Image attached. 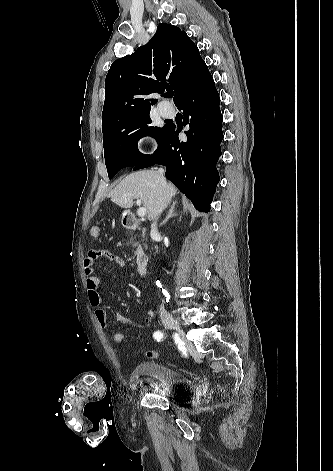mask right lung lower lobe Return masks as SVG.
<instances>
[{"mask_svg":"<svg viewBox=\"0 0 333 471\" xmlns=\"http://www.w3.org/2000/svg\"><path fill=\"white\" fill-rule=\"evenodd\" d=\"M183 110L187 141H179L178 129L170 124L157 150L134 165L133 170L154 164L167 167L165 176L189 198L196 209L210 210L219 182L216 168L223 139L219 94L209 71L196 81L176 105Z\"/></svg>","mask_w":333,"mask_h":471,"instance_id":"98d812e1","label":"right lung lower lobe"}]
</instances>
